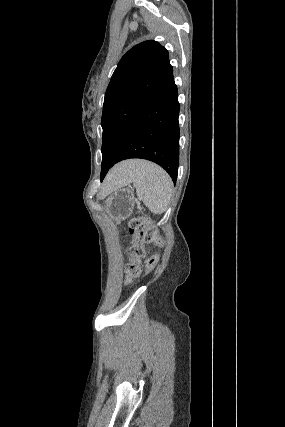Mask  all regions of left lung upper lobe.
Returning <instances> with one entry per match:
<instances>
[{"label": "left lung upper lobe", "mask_w": 285, "mask_h": 427, "mask_svg": "<svg viewBox=\"0 0 285 427\" xmlns=\"http://www.w3.org/2000/svg\"><path fill=\"white\" fill-rule=\"evenodd\" d=\"M172 72L168 51L153 40L134 46L121 58L104 98L101 180L112 167L125 129Z\"/></svg>", "instance_id": "left-lung-upper-lobe-1"}]
</instances>
